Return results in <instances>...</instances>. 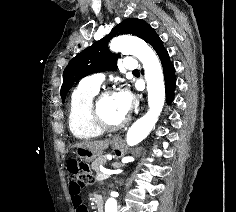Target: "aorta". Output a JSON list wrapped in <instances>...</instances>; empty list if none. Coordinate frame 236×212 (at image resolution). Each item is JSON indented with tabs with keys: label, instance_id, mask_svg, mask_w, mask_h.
<instances>
[{
	"label": "aorta",
	"instance_id": "aorta-1",
	"mask_svg": "<svg viewBox=\"0 0 236 212\" xmlns=\"http://www.w3.org/2000/svg\"><path fill=\"white\" fill-rule=\"evenodd\" d=\"M110 48L114 52L134 55L140 60L145 71L149 110L134 122L127 132V144L133 146L148 136L163 109L165 100L163 71L155 52L142 39L130 35H120L112 40ZM117 211L116 194L111 192L105 203V212Z\"/></svg>",
	"mask_w": 236,
	"mask_h": 212
}]
</instances>
